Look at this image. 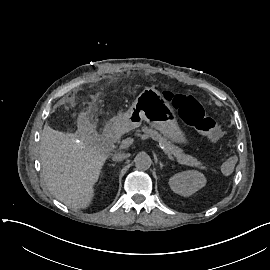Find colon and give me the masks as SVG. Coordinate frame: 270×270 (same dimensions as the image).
Wrapping results in <instances>:
<instances>
[{"instance_id": "obj_1", "label": "colon", "mask_w": 270, "mask_h": 270, "mask_svg": "<svg viewBox=\"0 0 270 270\" xmlns=\"http://www.w3.org/2000/svg\"><path fill=\"white\" fill-rule=\"evenodd\" d=\"M164 100L180 115L184 122L200 133L206 135L214 144L222 141L221 130L214 119L204 114L201 104L190 94L165 90L162 93ZM235 169V163L226 159L221 165L225 174H230Z\"/></svg>"}]
</instances>
